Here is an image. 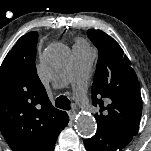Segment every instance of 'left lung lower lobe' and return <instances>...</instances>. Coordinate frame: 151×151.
I'll return each mask as SVG.
<instances>
[{
    "label": "left lung lower lobe",
    "mask_w": 151,
    "mask_h": 151,
    "mask_svg": "<svg viewBox=\"0 0 151 151\" xmlns=\"http://www.w3.org/2000/svg\"><path fill=\"white\" fill-rule=\"evenodd\" d=\"M132 138L98 127L96 135L86 139L84 145L88 151H122Z\"/></svg>",
    "instance_id": "0a47b994"
}]
</instances>
